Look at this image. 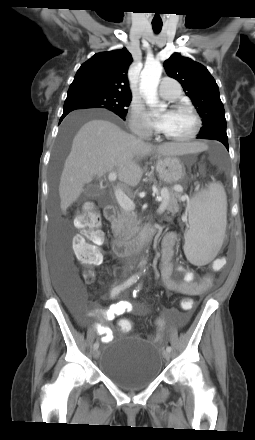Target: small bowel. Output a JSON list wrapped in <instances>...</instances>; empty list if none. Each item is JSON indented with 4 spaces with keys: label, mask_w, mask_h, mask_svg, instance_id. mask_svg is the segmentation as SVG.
<instances>
[{
    "label": "small bowel",
    "mask_w": 255,
    "mask_h": 440,
    "mask_svg": "<svg viewBox=\"0 0 255 440\" xmlns=\"http://www.w3.org/2000/svg\"><path fill=\"white\" fill-rule=\"evenodd\" d=\"M178 236L176 232L167 233L162 241L161 248V279L163 285L168 291L179 293L188 297L201 296L211 286V279L197 280L194 273L185 269L182 266H177L176 270L181 272L183 277L176 279L173 277L174 266L172 264V257L174 255V247ZM145 311L143 305H134L128 301H119L109 308H98L91 310L87 315H95L105 322L114 320L115 318L127 313H142ZM80 322L83 321L81 316H78ZM95 332L101 337L102 342L112 340L113 335L111 328L103 323H97L94 326Z\"/></svg>",
    "instance_id": "1"
}]
</instances>
